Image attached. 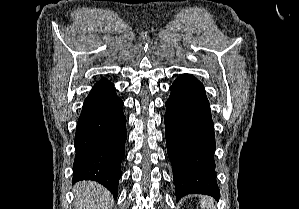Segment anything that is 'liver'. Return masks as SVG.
<instances>
[{"label":"liver","mask_w":299,"mask_h":209,"mask_svg":"<svg viewBox=\"0 0 299 209\" xmlns=\"http://www.w3.org/2000/svg\"><path fill=\"white\" fill-rule=\"evenodd\" d=\"M112 204L111 194L101 185L91 181H82L76 184V209H111Z\"/></svg>","instance_id":"6515ba94"}]
</instances>
